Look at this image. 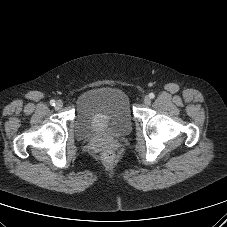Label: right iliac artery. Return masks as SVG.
<instances>
[{
	"label": "right iliac artery",
	"instance_id": "right-iliac-artery-1",
	"mask_svg": "<svg viewBox=\"0 0 227 227\" xmlns=\"http://www.w3.org/2000/svg\"><path fill=\"white\" fill-rule=\"evenodd\" d=\"M50 105L55 106V100H51Z\"/></svg>",
	"mask_w": 227,
	"mask_h": 227
}]
</instances>
